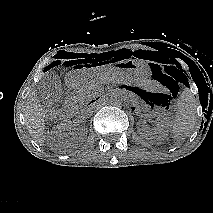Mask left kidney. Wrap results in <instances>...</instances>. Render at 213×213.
Listing matches in <instances>:
<instances>
[{"label": "left kidney", "instance_id": "1", "mask_svg": "<svg viewBox=\"0 0 213 213\" xmlns=\"http://www.w3.org/2000/svg\"><path fill=\"white\" fill-rule=\"evenodd\" d=\"M157 119V124L154 128L147 127L145 122H141L139 125V134L143 137H151L157 139H163L168 135L169 131V119L165 110L158 109L152 114Z\"/></svg>", "mask_w": 213, "mask_h": 213}]
</instances>
